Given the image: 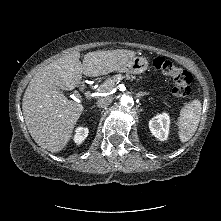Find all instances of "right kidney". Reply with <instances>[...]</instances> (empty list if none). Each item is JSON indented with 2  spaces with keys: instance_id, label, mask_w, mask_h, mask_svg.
<instances>
[{
  "instance_id": "obj_1",
  "label": "right kidney",
  "mask_w": 221,
  "mask_h": 221,
  "mask_svg": "<svg viewBox=\"0 0 221 221\" xmlns=\"http://www.w3.org/2000/svg\"><path fill=\"white\" fill-rule=\"evenodd\" d=\"M88 133H89L88 128L78 127L76 129V134L74 136V142L80 144L84 139L87 138Z\"/></svg>"
}]
</instances>
